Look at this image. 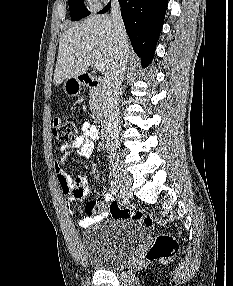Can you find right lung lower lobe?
<instances>
[{
  "label": "right lung lower lobe",
  "mask_w": 233,
  "mask_h": 286,
  "mask_svg": "<svg viewBox=\"0 0 233 286\" xmlns=\"http://www.w3.org/2000/svg\"><path fill=\"white\" fill-rule=\"evenodd\" d=\"M122 19L135 53L142 64L151 63L163 26L168 0H118ZM110 9V3L98 13Z\"/></svg>",
  "instance_id": "right-lung-lower-lobe-1"
}]
</instances>
